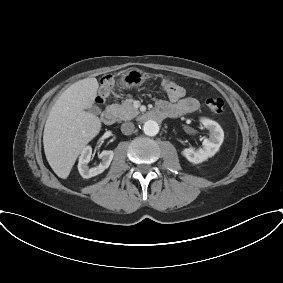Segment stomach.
<instances>
[{"label": "stomach", "instance_id": "stomach-1", "mask_svg": "<svg viewBox=\"0 0 283 283\" xmlns=\"http://www.w3.org/2000/svg\"><path fill=\"white\" fill-rule=\"evenodd\" d=\"M146 78V73L137 69H132L122 76L120 84L123 88L135 87L143 84Z\"/></svg>", "mask_w": 283, "mask_h": 283}]
</instances>
